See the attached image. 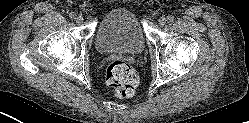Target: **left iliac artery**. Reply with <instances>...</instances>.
Segmentation results:
<instances>
[{
  "label": "left iliac artery",
  "instance_id": "left-iliac-artery-1",
  "mask_svg": "<svg viewBox=\"0 0 249 123\" xmlns=\"http://www.w3.org/2000/svg\"><path fill=\"white\" fill-rule=\"evenodd\" d=\"M173 21H174V17L173 16H171V15L167 16V22L168 23H172Z\"/></svg>",
  "mask_w": 249,
  "mask_h": 123
}]
</instances>
